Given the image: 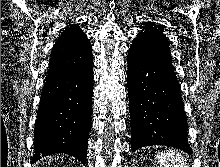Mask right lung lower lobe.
Listing matches in <instances>:
<instances>
[{"mask_svg": "<svg viewBox=\"0 0 220 167\" xmlns=\"http://www.w3.org/2000/svg\"><path fill=\"white\" fill-rule=\"evenodd\" d=\"M93 94L92 61L48 75L37 112L33 161L55 153L86 163Z\"/></svg>", "mask_w": 220, "mask_h": 167, "instance_id": "1", "label": "right lung lower lobe"}]
</instances>
